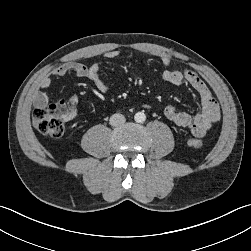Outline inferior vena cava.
I'll list each match as a JSON object with an SVG mask.
<instances>
[{
	"label": "inferior vena cava",
	"instance_id": "602c4592",
	"mask_svg": "<svg viewBox=\"0 0 251 251\" xmlns=\"http://www.w3.org/2000/svg\"><path fill=\"white\" fill-rule=\"evenodd\" d=\"M125 121V117L122 114H113L109 120L110 125L114 127L125 123Z\"/></svg>",
	"mask_w": 251,
	"mask_h": 251
}]
</instances>
